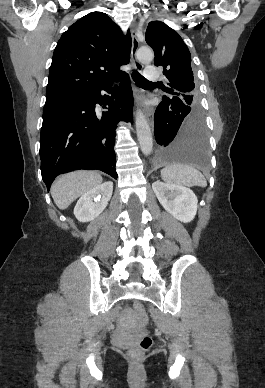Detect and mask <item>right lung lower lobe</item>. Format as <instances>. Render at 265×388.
<instances>
[{
	"instance_id": "right-lung-lower-lobe-1",
	"label": "right lung lower lobe",
	"mask_w": 265,
	"mask_h": 388,
	"mask_svg": "<svg viewBox=\"0 0 265 388\" xmlns=\"http://www.w3.org/2000/svg\"><path fill=\"white\" fill-rule=\"evenodd\" d=\"M120 78L108 101L101 91L110 92L111 83L44 106L40 158L48 190L57 175L77 169H98L117 179L115 129L120 120L132 122L133 114L128 74ZM106 101L108 111L96 114L95 105Z\"/></svg>"
}]
</instances>
